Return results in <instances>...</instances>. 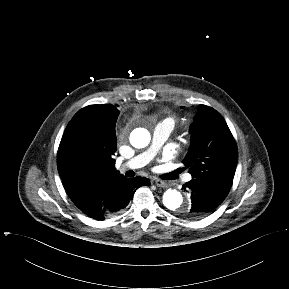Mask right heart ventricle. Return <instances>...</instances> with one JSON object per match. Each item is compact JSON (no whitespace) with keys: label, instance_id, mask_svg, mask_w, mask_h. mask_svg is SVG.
Segmentation results:
<instances>
[{"label":"right heart ventricle","instance_id":"1","mask_svg":"<svg viewBox=\"0 0 289 289\" xmlns=\"http://www.w3.org/2000/svg\"><path fill=\"white\" fill-rule=\"evenodd\" d=\"M167 120L171 122L172 125L174 124V120L172 118H168Z\"/></svg>","mask_w":289,"mask_h":289}]
</instances>
